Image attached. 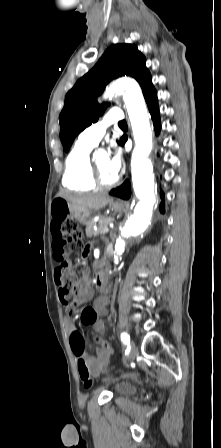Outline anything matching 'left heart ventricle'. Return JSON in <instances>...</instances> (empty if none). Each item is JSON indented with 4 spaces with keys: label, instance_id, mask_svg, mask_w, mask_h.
<instances>
[{
    "label": "left heart ventricle",
    "instance_id": "b2bd125f",
    "mask_svg": "<svg viewBox=\"0 0 221 448\" xmlns=\"http://www.w3.org/2000/svg\"><path fill=\"white\" fill-rule=\"evenodd\" d=\"M95 164L105 180H113L115 177L108 170V157L102 156L96 159Z\"/></svg>",
    "mask_w": 221,
    "mask_h": 448
}]
</instances>
